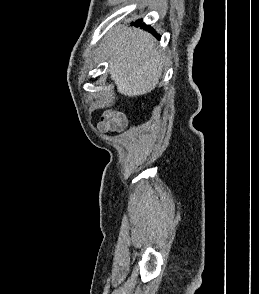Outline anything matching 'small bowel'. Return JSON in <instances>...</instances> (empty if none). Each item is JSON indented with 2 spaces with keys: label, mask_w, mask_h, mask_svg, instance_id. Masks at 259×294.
<instances>
[{
  "label": "small bowel",
  "mask_w": 259,
  "mask_h": 294,
  "mask_svg": "<svg viewBox=\"0 0 259 294\" xmlns=\"http://www.w3.org/2000/svg\"><path fill=\"white\" fill-rule=\"evenodd\" d=\"M126 126V118L123 114L115 111H107L103 113L99 123L98 129L101 132H120Z\"/></svg>",
  "instance_id": "small-bowel-1"
}]
</instances>
